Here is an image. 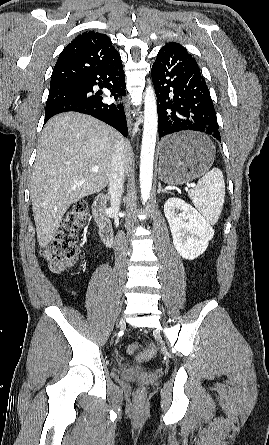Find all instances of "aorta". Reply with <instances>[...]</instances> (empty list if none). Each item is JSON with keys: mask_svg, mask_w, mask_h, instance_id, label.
<instances>
[{"mask_svg": "<svg viewBox=\"0 0 269 445\" xmlns=\"http://www.w3.org/2000/svg\"><path fill=\"white\" fill-rule=\"evenodd\" d=\"M144 95V126L140 154V189L143 204L149 199L152 188L153 161L158 125L154 89L148 86Z\"/></svg>", "mask_w": 269, "mask_h": 445, "instance_id": "1", "label": "aorta"}]
</instances>
